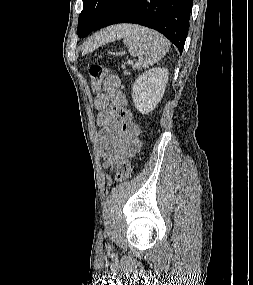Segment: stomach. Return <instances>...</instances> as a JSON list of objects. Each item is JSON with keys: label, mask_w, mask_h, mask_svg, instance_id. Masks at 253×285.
Segmentation results:
<instances>
[{"label": "stomach", "mask_w": 253, "mask_h": 285, "mask_svg": "<svg viewBox=\"0 0 253 285\" xmlns=\"http://www.w3.org/2000/svg\"><path fill=\"white\" fill-rule=\"evenodd\" d=\"M124 54H125V51H120V52L114 53V55H116V56H122Z\"/></svg>", "instance_id": "0dacf381"}]
</instances>
